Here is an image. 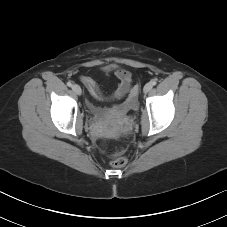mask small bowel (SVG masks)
<instances>
[{
	"instance_id": "small-bowel-1",
	"label": "small bowel",
	"mask_w": 227,
	"mask_h": 227,
	"mask_svg": "<svg viewBox=\"0 0 227 227\" xmlns=\"http://www.w3.org/2000/svg\"><path fill=\"white\" fill-rule=\"evenodd\" d=\"M106 72H114L115 76L119 80L118 87L114 93L115 98L121 99L127 95H133L131 73L129 71L114 65H109L106 67ZM81 81L93 98L98 100L103 98L98 85L91 77L82 76Z\"/></svg>"
}]
</instances>
